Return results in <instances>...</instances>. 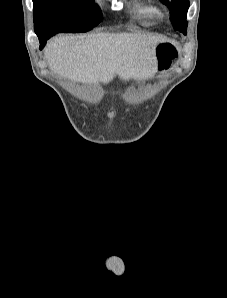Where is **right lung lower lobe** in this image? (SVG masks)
<instances>
[{
  "mask_svg": "<svg viewBox=\"0 0 227 298\" xmlns=\"http://www.w3.org/2000/svg\"><path fill=\"white\" fill-rule=\"evenodd\" d=\"M56 33H58V32L56 30H54V31H50V32H46V33L37 35L39 38V41H40V49H42L44 47V45L46 44V41Z\"/></svg>",
  "mask_w": 227,
  "mask_h": 298,
  "instance_id": "98d812e1",
  "label": "right lung lower lobe"
}]
</instances>
